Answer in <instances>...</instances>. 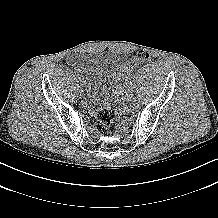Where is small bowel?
Returning <instances> with one entry per match:
<instances>
[{
    "mask_svg": "<svg viewBox=\"0 0 218 218\" xmlns=\"http://www.w3.org/2000/svg\"><path fill=\"white\" fill-rule=\"evenodd\" d=\"M67 60H68V63H70V64H75V62H76L75 57L72 55L69 56Z\"/></svg>",
    "mask_w": 218,
    "mask_h": 218,
    "instance_id": "c3829d8e",
    "label": "small bowel"
}]
</instances>
